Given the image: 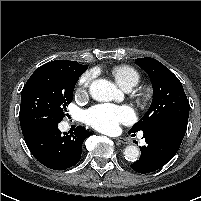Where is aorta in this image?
I'll return each mask as SVG.
<instances>
[{
    "label": "aorta",
    "mask_w": 201,
    "mask_h": 201,
    "mask_svg": "<svg viewBox=\"0 0 201 201\" xmlns=\"http://www.w3.org/2000/svg\"><path fill=\"white\" fill-rule=\"evenodd\" d=\"M89 92L92 98L99 102L111 101L118 95L116 86L105 79L93 81L89 87ZM139 155L140 151L137 146L129 145L124 149V157L128 161H136Z\"/></svg>",
    "instance_id": "1"
}]
</instances>
